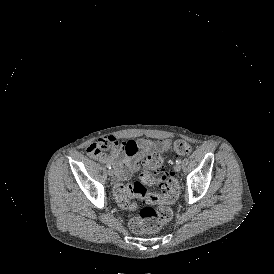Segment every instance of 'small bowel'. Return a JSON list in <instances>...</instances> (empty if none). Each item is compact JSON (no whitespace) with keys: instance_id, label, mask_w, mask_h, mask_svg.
Masks as SVG:
<instances>
[{"instance_id":"c3829d8e","label":"small bowel","mask_w":274,"mask_h":274,"mask_svg":"<svg viewBox=\"0 0 274 274\" xmlns=\"http://www.w3.org/2000/svg\"><path fill=\"white\" fill-rule=\"evenodd\" d=\"M164 142L171 143L167 139L154 140L148 137L123 142L114 137H105L89 145L87 153L92 159L111 165L113 179L118 183L130 179L148 156L161 153L160 146Z\"/></svg>"}]
</instances>
